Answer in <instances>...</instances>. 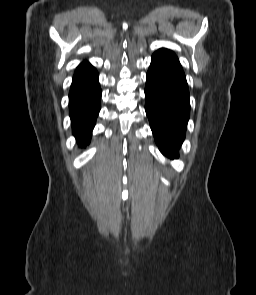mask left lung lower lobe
Wrapping results in <instances>:
<instances>
[{
    "mask_svg": "<svg viewBox=\"0 0 256 295\" xmlns=\"http://www.w3.org/2000/svg\"><path fill=\"white\" fill-rule=\"evenodd\" d=\"M145 110L160 151L169 158H178L190 115L183 70L151 61L146 77Z\"/></svg>",
    "mask_w": 256,
    "mask_h": 295,
    "instance_id": "0a47b994",
    "label": "left lung lower lobe"
}]
</instances>
